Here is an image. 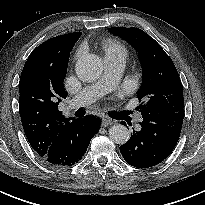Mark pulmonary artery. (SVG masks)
I'll use <instances>...</instances> for the list:
<instances>
[{"instance_id": "obj_1", "label": "pulmonary artery", "mask_w": 205, "mask_h": 205, "mask_svg": "<svg viewBox=\"0 0 205 205\" xmlns=\"http://www.w3.org/2000/svg\"><path fill=\"white\" fill-rule=\"evenodd\" d=\"M104 63L105 71L102 77L93 84L84 87L72 99L71 108L83 107L94 102L118 83L124 71L126 59L124 57H105ZM142 120L140 117L138 123Z\"/></svg>"}]
</instances>
